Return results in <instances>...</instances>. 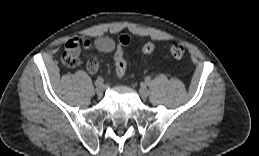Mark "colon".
<instances>
[{
    "instance_id": "1",
    "label": "colon",
    "mask_w": 259,
    "mask_h": 156,
    "mask_svg": "<svg viewBox=\"0 0 259 156\" xmlns=\"http://www.w3.org/2000/svg\"><path fill=\"white\" fill-rule=\"evenodd\" d=\"M130 42L128 36H121L118 42V48L114 56L116 75L118 78L124 77L127 70V63L124 58V47ZM154 44L149 41L142 42V51L145 54H151L154 51ZM170 54L177 59H180L185 54V49L180 43H173L169 46ZM64 63L69 67H74L78 62V55L70 50L65 49L63 55Z\"/></svg>"
}]
</instances>
